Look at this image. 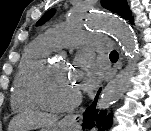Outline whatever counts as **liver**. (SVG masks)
Instances as JSON below:
<instances>
[{
  "instance_id": "6515ba94",
  "label": "liver",
  "mask_w": 151,
  "mask_h": 131,
  "mask_svg": "<svg viewBox=\"0 0 151 131\" xmlns=\"http://www.w3.org/2000/svg\"><path fill=\"white\" fill-rule=\"evenodd\" d=\"M58 121L56 116L43 112H24L15 116L9 123L8 131H29L47 128Z\"/></svg>"
}]
</instances>
